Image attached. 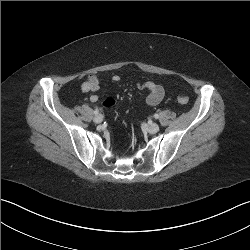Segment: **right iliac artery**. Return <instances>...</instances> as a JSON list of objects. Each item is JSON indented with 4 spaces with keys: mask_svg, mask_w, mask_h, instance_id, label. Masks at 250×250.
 <instances>
[{
    "mask_svg": "<svg viewBox=\"0 0 250 250\" xmlns=\"http://www.w3.org/2000/svg\"><path fill=\"white\" fill-rule=\"evenodd\" d=\"M99 113L98 109H95L94 114L97 115Z\"/></svg>",
    "mask_w": 250,
    "mask_h": 250,
    "instance_id": "obj_1",
    "label": "right iliac artery"
}]
</instances>
